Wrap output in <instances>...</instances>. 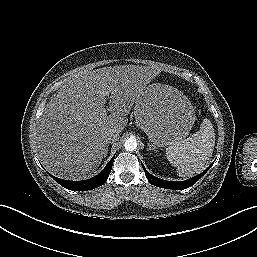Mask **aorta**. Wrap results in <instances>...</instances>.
I'll use <instances>...</instances> for the list:
<instances>
[{
	"label": "aorta",
	"instance_id": "obj_1",
	"mask_svg": "<svg viewBox=\"0 0 257 257\" xmlns=\"http://www.w3.org/2000/svg\"><path fill=\"white\" fill-rule=\"evenodd\" d=\"M124 147L127 151H133L137 148V141L135 138L130 137L128 138L125 143H124Z\"/></svg>",
	"mask_w": 257,
	"mask_h": 257
}]
</instances>
